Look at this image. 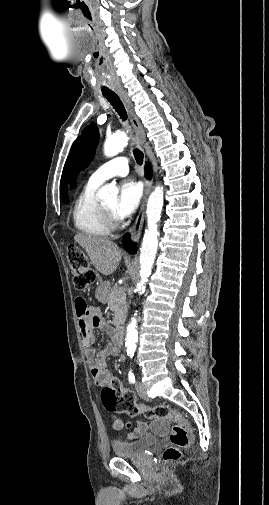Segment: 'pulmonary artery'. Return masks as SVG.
I'll return each instance as SVG.
<instances>
[{"mask_svg": "<svg viewBox=\"0 0 269 505\" xmlns=\"http://www.w3.org/2000/svg\"><path fill=\"white\" fill-rule=\"evenodd\" d=\"M128 171V159L124 156L116 157L97 168L91 174L89 181L101 185L112 177L127 175Z\"/></svg>", "mask_w": 269, "mask_h": 505, "instance_id": "1", "label": "pulmonary artery"}]
</instances>
